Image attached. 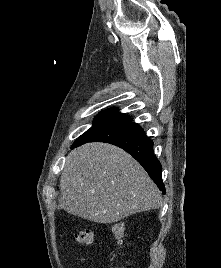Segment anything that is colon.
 I'll use <instances>...</instances> for the list:
<instances>
[{
	"instance_id": "colon-1",
	"label": "colon",
	"mask_w": 221,
	"mask_h": 268,
	"mask_svg": "<svg viewBox=\"0 0 221 268\" xmlns=\"http://www.w3.org/2000/svg\"><path fill=\"white\" fill-rule=\"evenodd\" d=\"M112 232L115 238L119 241H122L125 237V227L122 223H116L112 226ZM77 242L90 245L93 243L94 234L90 229H82L75 234Z\"/></svg>"
}]
</instances>
